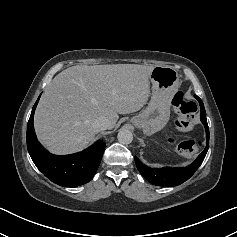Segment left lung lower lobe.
I'll use <instances>...</instances> for the list:
<instances>
[{
    "label": "left lung lower lobe",
    "mask_w": 237,
    "mask_h": 237,
    "mask_svg": "<svg viewBox=\"0 0 237 237\" xmlns=\"http://www.w3.org/2000/svg\"><path fill=\"white\" fill-rule=\"evenodd\" d=\"M200 103V119L206 130V147L197 159L189 166L184 168L164 167L161 169L149 168L135 157V162L140 173L152 184L157 186H176L188 180L202 164L209 148V128L206 119V112L202 100L195 96Z\"/></svg>",
    "instance_id": "left-lung-lower-lobe-1"
}]
</instances>
